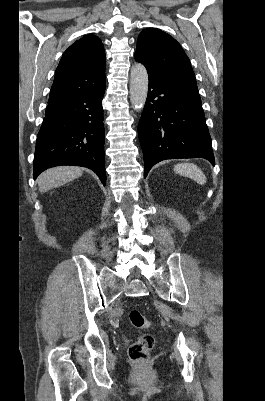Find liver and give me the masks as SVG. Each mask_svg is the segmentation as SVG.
<instances>
[{
  "label": "liver",
  "mask_w": 265,
  "mask_h": 401,
  "mask_svg": "<svg viewBox=\"0 0 265 401\" xmlns=\"http://www.w3.org/2000/svg\"><path fill=\"white\" fill-rule=\"evenodd\" d=\"M82 168L80 166H55V168H48L38 176V186L40 192H47L51 188L66 184L74 178L81 176Z\"/></svg>",
  "instance_id": "obj_1"
}]
</instances>
